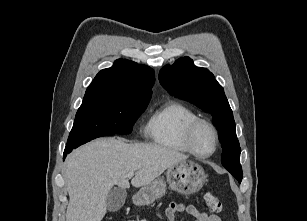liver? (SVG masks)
<instances>
[{
	"mask_svg": "<svg viewBox=\"0 0 307 221\" xmlns=\"http://www.w3.org/2000/svg\"><path fill=\"white\" fill-rule=\"evenodd\" d=\"M187 158L157 144H128L115 138L97 139L78 148L65 162L69 194L66 221H101L112 187L130 188L129 172H136L132 186L144 187Z\"/></svg>",
	"mask_w": 307,
	"mask_h": 221,
	"instance_id": "1",
	"label": "liver"
}]
</instances>
